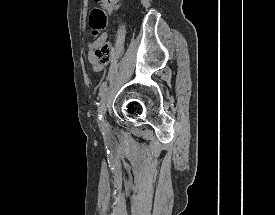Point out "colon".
<instances>
[{
    "label": "colon",
    "mask_w": 275,
    "mask_h": 215,
    "mask_svg": "<svg viewBox=\"0 0 275 215\" xmlns=\"http://www.w3.org/2000/svg\"><path fill=\"white\" fill-rule=\"evenodd\" d=\"M99 6L94 8L89 16V26L94 34L98 33L106 24L107 15L105 11L114 9L118 0H95ZM97 63L107 65L111 58L110 45L103 41L95 50Z\"/></svg>",
    "instance_id": "obj_1"
}]
</instances>
